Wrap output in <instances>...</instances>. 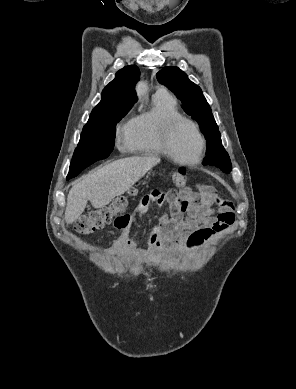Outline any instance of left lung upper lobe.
<instances>
[{"instance_id":"obj_1","label":"left lung upper lobe","mask_w":296,"mask_h":389,"mask_svg":"<svg viewBox=\"0 0 296 389\" xmlns=\"http://www.w3.org/2000/svg\"><path fill=\"white\" fill-rule=\"evenodd\" d=\"M156 76L161 84L167 86L180 98L184 111L198 122L207 140L203 165L216 166L230 173L232 166L229 155L221 145L218 126L200 87L191 82L186 73L178 67H164Z\"/></svg>"}]
</instances>
